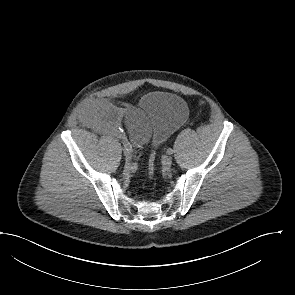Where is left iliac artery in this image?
<instances>
[{
  "mask_svg": "<svg viewBox=\"0 0 295 295\" xmlns=\"http://www.w3.org/2000/svg\"><path fill=\"white\" fill-rule=\"evenodd\" d=\"M167 154L172 155L173 154V149H171V148L167 149Z\"/></svg>",
  "mask_w": 295,
  "mask_h": 295,
  "instance_id": "left-iliac-artery-1",
  "label": "left iliac artery"
}]
</instances>
